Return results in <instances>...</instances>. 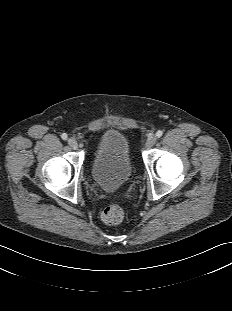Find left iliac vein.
Masks as SVG:
<instances>
[{"label": "left iliac vein", "instance_id": "4c4485c4", "mask_svg": "<svg viewBox=\"0 0 232 311\" xmlns=\"http://www.w3.org/2000/svg\"><path fill=\"white\" fill-rule=\"evenodd\" d=\"M156 143V137L155 136H150L147 141H146V147L147 148H151L154 146V144Z\"/></svg>", "mask_w": 232, "mask_h": 311}]
</instances>
